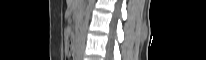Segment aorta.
Masks as SVG:
<instances>
[{"mask_svg":"<svg viewBox=\"0 0 206 60\" xmlns=\"http://www.w3.org/2000/svg\"><path fill=\"white\" fill-rule=\"evenodd\" d=\"M93 4H94V0H89V4H88V6L85 10V13H84V15H85L84 22H83V25L80 27L79 36H80V40H81V47H83V45H84V40L86 37V30H87L88 23L90 20V15H91V10H92Z\"/></svg>","mask_w":206,"mask_h":60,"instance_id":"obj_1","label":"aorta"}]
</instances>
